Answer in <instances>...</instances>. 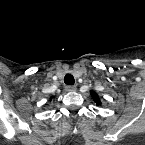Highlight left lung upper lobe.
<instances>
[{
  "instance_id": "left-lung-upper-lobe-1",
  "label": "left lung upper lobe",
  "mask_w": 145,
  "mask_h": 145,
  "mask_svg": "<svg viewBox=\"0 0 145 145\" xmlns=\"http://www.w3.org/2000/svg\"><path fill=\"white\" fill-rule=\"evenodd\" d=\"M91 96H92V98L94 99V101L97 105L101 104V101H100V98H99L98 94H96L94 91H92Z\"/></svg>"
}]
</instances>
